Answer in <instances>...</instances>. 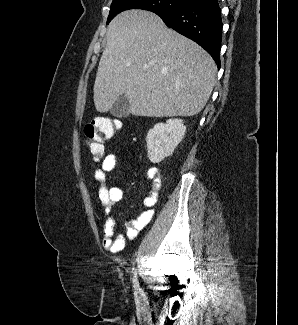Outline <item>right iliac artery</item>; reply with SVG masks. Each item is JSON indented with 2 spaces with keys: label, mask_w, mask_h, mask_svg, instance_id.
I'll return each mask as SVG.
<instances>
[{
  "label": "right iliac artery",
  "mask_w": 298,
  "mask_h": 325,
  "mask_svg": "<svg viewBox=\"0 0 298 325\" xmlns=\"http://www.w3.org/2000/svg\"><path fill=\"white\" fill-rule=\"evenodd\" d=\"M133 287H134L135 292H138L140 289L137 274H134V277H133Z\"/></svg>",
  "instance_id": "right-iliac-artery-1"
}]
</instances>
